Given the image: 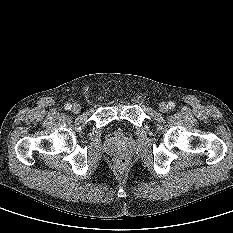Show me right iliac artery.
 I'll return each mask as SVG.
<instances>
[{
    "label": "right iliac artery",
    "instance_id": "right-iliac-artery-1",
    "mask_svg": "<svg viewBox=\"0 0 233 233\" xmlns=\"http://www.w3.org/2000/svg\"><path fill=\"white\" fill-rule=\"evenodd\" d=\"M71 107H72V105L70 103L65 104V109L66 110H70Z\"/></svg>",
    "mask_w": 233,
    "mask_h": 233
}]
</instances>
